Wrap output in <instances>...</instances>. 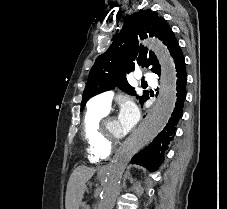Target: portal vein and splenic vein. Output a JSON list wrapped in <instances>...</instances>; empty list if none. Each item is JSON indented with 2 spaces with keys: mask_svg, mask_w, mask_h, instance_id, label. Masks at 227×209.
Returning a JSON list of instances; mask_svg holds the SVG:
<instances>
[{
  "mask_svg": "<svg viewBox=\"0 0 227 209\" xmlns=\"http://www.w3.org/2000/svg\"><path fill=\"white\" fill-rule=\"evenodd\" d=\"M85 206H86L85 209H90V207H89L90 205L88 203Z\"/></svg>",
  "mask_w": 227,
  "mask_h": 209,
  "instance_id": "portal-vein-and-splenic-vein-1",
  "label": "portal vein and splenic vein"
}]
</instances>
